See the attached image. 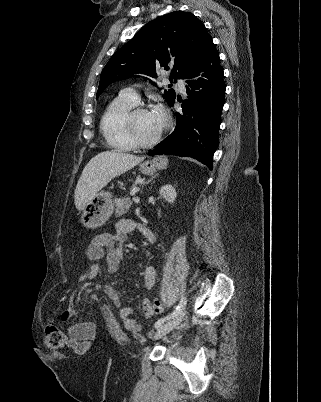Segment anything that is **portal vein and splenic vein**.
Listing matches in <instances>:
<instances>
[{"label":"portal vein and splenic vein","instance_id":"1","mask_svg":"<svg viewBox=\"0 0 321 402\" xmlns=\"http://www.w3.org/2000/svg\"><path fill=\"white\" fill-rule=\"evenodd\" d=\"M132 200H133L135 203H139V202H140V199H139L138 197H136V196H134V197L132 198Z\"/></svg>","mask_w":321,"mask_h":402}]
</instances>
